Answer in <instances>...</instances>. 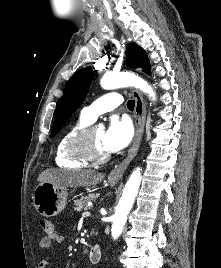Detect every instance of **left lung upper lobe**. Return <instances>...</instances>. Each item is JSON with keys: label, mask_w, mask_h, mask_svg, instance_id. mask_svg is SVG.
Wrapping results in <instances>:
<instances>
[{"label": "left lung upper lobe", "mask_w": 221, "mask_h": 268, "mask_svg": "<svg viewBox=\"0 0 221 268\" xmlns=\"http://www.w3.org/2000/svg\"><path fill=\"white\" fill-rule=\"evenodd\" d=\"M126 64L130 68H142L150 74V63L145 51L134 43L127 45ZM93 79L91 68L76 72L67 82L64 93L58 102L54 126L50 137H54L71 114L83 103Z\"/></svg>", "instance_id": "5c2ea615"}]
</instances>
